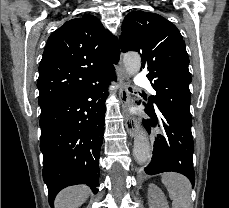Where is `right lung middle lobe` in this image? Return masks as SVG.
Instances as JSON below:
<instances>
[{
  "label": "right lung middle lobe",
  "instance_id": "right-lung-middle-lobe-1",
  "mask_svg": "<svg viewBox=\"0 0 229 208\" xmlns=\"http://www.w3.org/2000/svg\"><path fill=\"white\" fill-rule=\"evenodd\" d=\"M56 103H47V104H40L41 107V114L50 110Z\"/></svg>",
  "mask_w": 229,
  "mask_h": 208
}]
</instances>
